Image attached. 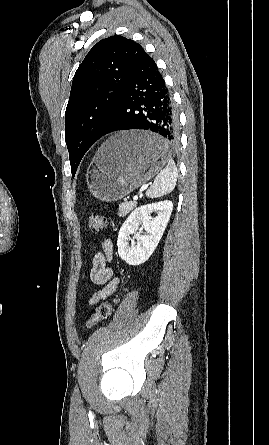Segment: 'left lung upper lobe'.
Segmentation results:
<instances>
[{"mask_svg":"<svg viewBox=\"0 0 269 445\" xmlns=\"http://www.w3.org/2000/svg\"><path fill=\"white\" fill-rule=\"evenodd\" d=\"M145 51L122 36L100 40L78 67L65 112L72 176L113 119L120 97Z\"/></svg>","mask_w":269,"mask_h":445,"instance_id":"obj_1","label":"left lung upper lobe"}]
</instances>
